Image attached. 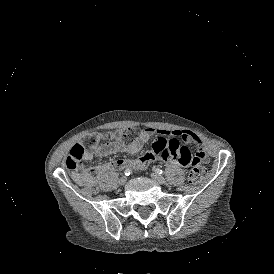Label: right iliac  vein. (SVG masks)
<instances>
[{
  "instance_id": "obj_1",
  "label": "right iliac vein",
  "mask_w": 274,
  "mask_h": 274,
  "mask_svg": "<svg viewBox=\"0 0 274 274\" xmlns=\"http://www.w3.org/2000/svg\"><path fill=\"white\" fill-rule=\"evenodd\" d=\"M127 182V178L125 176L119 179V184L124 185Z\"/></svg>"
}]
</instances>
